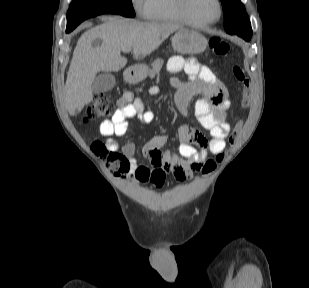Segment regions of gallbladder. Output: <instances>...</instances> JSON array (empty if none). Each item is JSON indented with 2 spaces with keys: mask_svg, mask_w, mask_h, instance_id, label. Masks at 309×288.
<instances>
[{
  "mask_svg": "<svg viewBox=\"0 0 309 288\" xmlns=\"http://www.w3.org/2000/svg\"><path fill=\"white\" fill-rule=\"evenodd\" d=\"M116 80L113 74L111 73H102L98 75L92 84L93 92H108L114 88Z\"/></svg>",
  "mask_w": 309,
  "mask_h": 288,
  "instance_id": "gallbladder-1",
  "label": "gallbladder"
}]
</instances>
